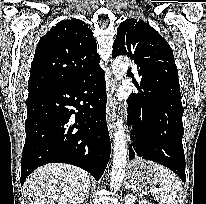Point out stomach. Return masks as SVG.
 Here are the masks:
<instances>
[{"mask_svg": "<svg viewBox=\"0 0 206 204\" xmlns=\"http://www.w3.org/2000/svg\"><path fill=\"white\" fill-rule=\"evenodd\" d=\"M158 167L156 163L136 159L129 166V181L139 190L152 189L160 180Z\"/></svg>", "mask_w": 206, "mask_h": 204, "instance_id": "stomach-1", "label": "stomach"}]
</instances>
